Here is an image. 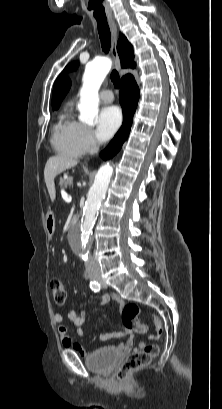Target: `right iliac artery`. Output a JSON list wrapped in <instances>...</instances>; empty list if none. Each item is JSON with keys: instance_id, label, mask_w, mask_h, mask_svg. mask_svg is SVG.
<instances>
[{"instance_id": "82829eb1", "label": "right iliac artery", "mask_w": 222, "mask_h": 409, "mask_svg": "<svg viewBox=\"0 0 222 409\" xmlns=\"http://www.w3.org/2000/svg\"><path fill=\"white\" fill-rule=\"evenodd\" d=\"M90 288L94 291V292H99L101 289V286L98 282L96 281H91L90 282Z\"/></svg>"}]
</instances>
